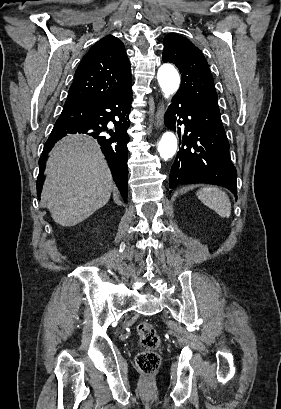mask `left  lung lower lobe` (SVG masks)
Wrapping results in <instances>:
<instances>
[{"label": "left lung lower lobe", "instance_id": "left-lung-lower-lobe-1", "mask_svg": "<svg viewBox=\"0 0 281 409\" xmlns=\"http://www.w3.org/2000/svg\"><path fill=\"white\" fill-rule=\"evenodd\" d=\"M165 124L173 130L184 125L182 148L171 167L170 188L180 183H209L228 188L237 198V172L220 115L176 94L165 114ZM177 130L180 136L181 128Z\"/></svg>", "mask_w": 281, "mask_h": 409}]
</instances>
